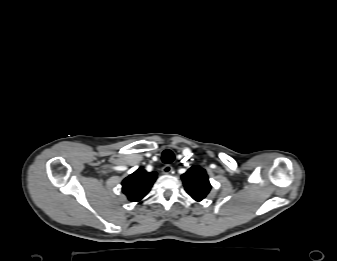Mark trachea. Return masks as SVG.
<instances>
[{
	"label": "trachea",
	"mask_w": 337,
	"mask_h": 261,
	"mask_svg": "<svg viewBox=\"0 0 337 261\" xmlns=\"http://www.w3.org/2000/svg\"><path fill=\"white\" fill-rule=\"evenodd\" d=\"M173 160H174V153L171 150H169V149L164 150L163 153H162V161L165 164H169Z\"/></svg>",
	"instance_id": "trachea-1"
}]
</instances>
